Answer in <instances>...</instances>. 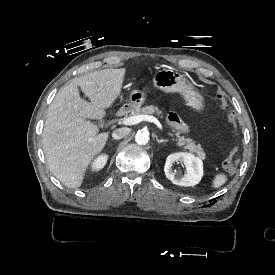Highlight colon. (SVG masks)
Wrapping results in <instances>:
<instances>
[{
    "mask_svg": "<svg viewBox=\"0 0 275 275\" xmlns=\"http://www.w3.org/2000/svg\"><path fill=\"white\" fill-rule=\"evenodd\" d=\"M217 97L219 101V106L222 109H225L227 111L228 120L230 121V123L233 125V128H234V134L238 136L239 130H240V123L236 112L229 107L228 101L221 93H219ZM238 153H239V149L235 147L233 149V152L224 161V167L227 172L233 173L235 171L237 163L239 161Z\"/></svg>",
    "mask_w": 275,
    "mask_h": 275,
    "instance_id": "obj_1",
    "label": "colon"
}]
</instances>
